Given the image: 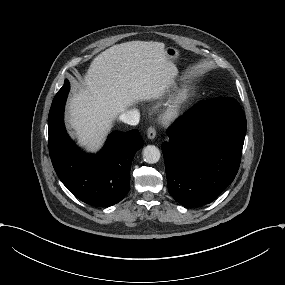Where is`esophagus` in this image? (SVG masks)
<instances>
[{"label": "esophagus", "mask_w": 285, "mask_h": 285, "mask_svg": "<svg viewBox=\"0 0 285 285\" xmlns=\"http://www.w3.org/2000/svg\"><path fill=\"white\" fill-rule=\"evenodd\" d=\"M147 136L149 139H154L156 137V129L154 126H150L147 130Z\"/></svg>", "instance_id": "1"}]
</instances>
